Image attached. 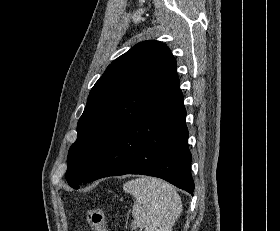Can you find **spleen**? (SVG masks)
<instances>
[{"instance_id":"1","label":"spleen","mask_w":280,"mask_h":231,"mask_svg":"<svg viewBox=\"0 0 280 231\" xmlns=\"http://www.w3.org/2000/svg\"><path fill=\"white\" fill-rule=\"evenodd\" d=\"M123 189L135 197L132 229L171 231L182 211L181 197L173 185L158 177L140 175L126 181Z\"/></svg>"}]
</instances>
